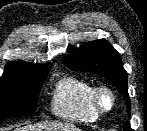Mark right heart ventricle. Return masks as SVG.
I'll list each match as a JSON object with an SVG mask.
<instances>
[{
  "label": "right heart ventricle",
  "mask_w": 147,
  "mask_h": 131,
  "mask_svg": "<svg viewBox=\"0 0 147 131\" xmlns=\"http://www.w3.org/2000/svg\"><path fill=\"white\" fill-rule=\"evenodd\" d=\"M94 87L90 81L77 76L62 77L52 92L51 112L59 118L81 124L97 121L99 114L92 104Z\"/></svg>",
  "instance_id": "right-heart-ventricle-1"
}]
</instances>
